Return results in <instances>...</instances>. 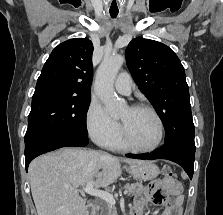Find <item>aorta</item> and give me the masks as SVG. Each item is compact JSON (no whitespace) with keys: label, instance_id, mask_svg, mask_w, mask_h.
<instances>
[{"label":"aorta","instance_id":"1","mask_svg":"<svg viewBox=\"0 0 223 215\" xmlns=\"http://www.w3.org/2000/svg\"><path fill=\"white\" fill-rule=\"evenodd\" d=\"M123 62H125V58L124 56H119V54L105 56L96 72L94 90L101 102H103L106 113L111 117L121 115L126 108L125 100L116 98L113 86Z\"/></svg>","mask_w":223,"mask_h":215}]
</instances>
